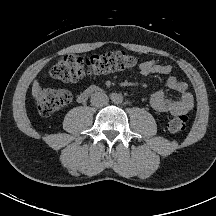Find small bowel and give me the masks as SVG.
I'll return each mask as SVG.
<instances>
[{
    "label": "small bowel",
    "mask_w": 216,
    "mask_h": 216,
    "mask_svg": "<svg viewBox=\"0 0 216 216\" xmlns=\"http://www.w3.org/2000/svg\"><path fill=\"white\" fill-rule=\"evenodd\" d=\"M140 73L148 76L152 74L169 75L166 85L169 89L176 90L180 93L177 99H170L164 91H158L150 96L149 104L157 112L167 113L171 115H181L190 112L194 107V98L189 91V86L186 82L179 81L172 76L173 67L169 64H161L156 60L145 61L140 64ZM80 102H84L81 94L78 97Z\"/></svg>",
    "instance_id": "small-bowel-1"
}]
</instances>
